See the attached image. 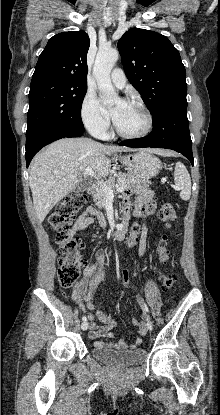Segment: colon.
<instances>
[{"instance_id":"colon-1","label":"colon","mask_w":220,"mask_h":415,"mask_svg":"<svg viewBox=\"0 0 220 415\" xmlns=\"http://www.w3.org/2000/svg\"><path fill=\"white\" fill-rule=\"evenodd\" d=\"M86 202L87 196L83 193L71 195L48 215V225L56 234V244L60 255L57 276L59 284L63 288H69L76 283L83 265L80 256L82 244L68 230L72 221L85 206ZM153 211V206L148 205L145 207L147 214H152ZM158 218L166 229H170L177 219L175 207L170 203L163 204L158 212ZM159 260L161 263H165L168 260L166 240L159 242ZM124 280L127 281L126 278ZM161 282L162 287L165 290H169L175 283V277L173 275L162 274Z\"/></svg>"}]
</instances>
